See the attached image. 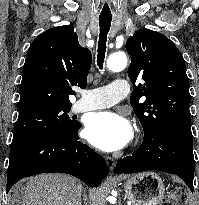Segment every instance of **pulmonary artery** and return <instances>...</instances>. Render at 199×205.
I'll list each match as a JSON object with an SVG mask.
<instances>
[{
	"label": "pulmonary artery",
	"mask_w": 199,
	"mask_h": 205,
	"mask_svg": "<svg viewBox=\"0 0 199 205\" xmlns=\"http://www.w3.org/2000/svg\"><path fill=\"white\" fill-rule=\"evenodd\" d=\"M130 89L131 85L126 79L118 78L106 86L82 91L81 98L73 104L72 111L81 113L112 106L125 98Z\"/></svg>",
	"instance_id": "obj_1"
}]
</instances>
